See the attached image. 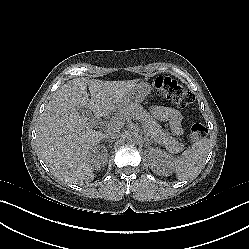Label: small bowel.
I'll return each mask as SVG.
<instances>
[{
  "label": "small bowel",
  "mask_w": 249,
  "mask_h": 249,
  "mask_svg": "<svg viewBox=\"0 0 249 249\" xmlns=\"http://www.w3.org/2000/svg\"><path fill=\"white\" fill-rule=\"evenodd\" d=\"M150 111L157 118L167 122L173 132H180L179 113L177 111L169 107H152Z\"/></svg>",
  "instance_id": "small-bowel-1"
}]
</instances>
